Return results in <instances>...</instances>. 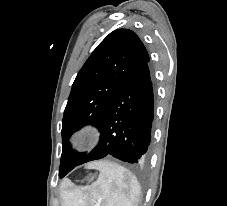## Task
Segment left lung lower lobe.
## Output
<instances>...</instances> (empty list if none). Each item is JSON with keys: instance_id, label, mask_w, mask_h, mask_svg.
Wrapping results in <instances>:
<instances>
[{"instance_id": "obj_1", "label": "left lung lower lobe", "mask_w": 227, "mask_h": 206, "mask_svg": "<svg viewBox=\"0 0 227 206\" xmlns=\"http://www.w3.org/2000/svg\"><path fill=\"white\" fill-rule=\"evenodd\" d=\"M153 118L154 93L146 63L119 89L99 130V144L76 166L109 155L130 163L146 158L150 150ZM72 169L59 173V177L63 178Z\"/></svg>"}]
</instances>
